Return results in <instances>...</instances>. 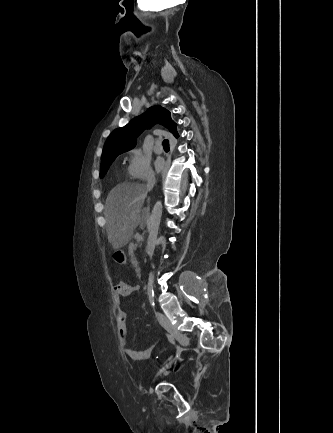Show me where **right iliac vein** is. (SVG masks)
<instances>
[{
	"label": "right iliac vein",
	"mask_w": 333,
	"mask_h": 433,
	"mask_svg": "<svg viewBox=\"0 0 333 433\" xmlns=\"http://www.w3.org/2000/svg\"><path fill=\"white\" fill-rule=\"evenodd\" d=\"M163 327L181 344V346L186 347L189 344V338L186 336V334L181 333L178 331L174 326H172L170 323H166L163 325ZM181 353V350H179L178 355ZM173 361L166 364L165 367L160 369L155 377H158L161 375L171 364ZM149 393H153V388H150Z\"/></svg>",
	"instance_id": "right-iliac-vein-1"
}]
</instances>
